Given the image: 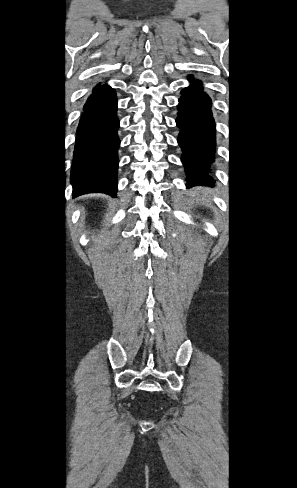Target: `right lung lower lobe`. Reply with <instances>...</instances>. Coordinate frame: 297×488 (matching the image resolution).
I'll use <instances>...</instances> for the list:
<instances>
[{"label":"right lung lower lobe","mask_w":297,"mask_h":488,"mask_svg":"<svg viewBox=\"0 0 297 488\" xmlns=\"http://www.w3.org/2000/svg\"><path fill=\"white\" fill-rule=\"evenodd\" d=\"M116 110V93L108 85L95 89L83 108L71 176L74 197L93 192L116 194L120 145Z\"/></svg>","instance_id":"98d812e1"}]
</instances>
